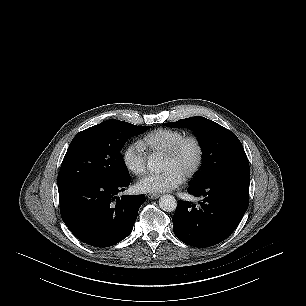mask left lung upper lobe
Instances as JSON below:
<instances>
[{
    "mask_svg": "<svg viewBox=\"0 0 306 306\" xmlns=\"http://www.w3.org/2000/svg\"><path fill=\"white\" fill-rule=\"evenodd\" d=\"M168 127L194 131L203 151V164L191 184L228 174H250L243 146L233 132L204 117L165 123Z\"/></svg>",
    "mask_w": 306,
    "mask_h": 306,
    "instance_id": "5c2ea615",
    "label": "left lung upper lobe"
}]
</instances>
